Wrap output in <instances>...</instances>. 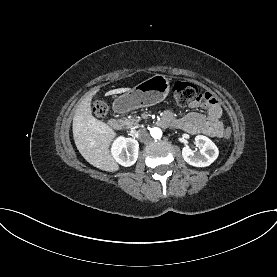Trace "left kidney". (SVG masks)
<instances>
[{
    "label": "left kidney",
    "mask_w": 277,
    "mask_h": 277,
    "mask_svg": "<svg viewBox=\"0 0 277 277\" xmlns=\"http://www.w3.org/2000/svg\"><path fill=\"white\" fill-rule=\"evenodd\" d=\"M197 144L202 146L200 152L195 153L189 146L182 149L183 159L192 166L206 167L212 164L218 157L217 146L206 136L198 135L195 137Z\"/></svg>",
    "instance_id": "5707ae66"
}]
</instances>
